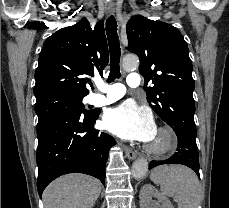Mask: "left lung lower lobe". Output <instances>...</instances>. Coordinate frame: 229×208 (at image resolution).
I'll return each instance as SVG.
<instances>
[{
    "instance_id": "left-lung-lower-lobe-1",
    "label": "left lung lower lobe",
    "mask_w": 229,
    "mask_h": 208,
    "mask_svg": "<svg viewBox=\"0 0 229 208\" xmlns=\"http://www.w3.org/2000/svg\"><path fill=\"white\" fill-rule=\"evenodd\" d=\"M178 138L177 152L164 161H151L149 169L161 164H182L190 167L200 178L199 153L196 145V131L189 128H173Z\"/></svg>"
}]
</instances>
